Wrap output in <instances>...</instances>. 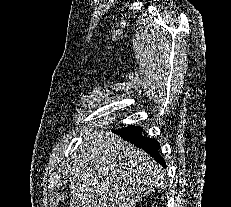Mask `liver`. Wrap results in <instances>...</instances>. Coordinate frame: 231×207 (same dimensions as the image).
Returning a JSON list of instances; mask_svg holds the SVG:
<instances>
[{
  "mask_svg": "<svg viewBox=\"0 0 231 207\" xmlns=\"http://www.w3.org/2000/svg\"><path fill=\"white\" fill-rule=\"evenodd\" d=\"M71 160L70 207H134L164 179L147 153L103 129L86 133Z\"/></svg>",
  "mask_w": 231,
  "mask_h": 207,
  "instance_id": "1",
  "label": "liver"
}]
</instances>
